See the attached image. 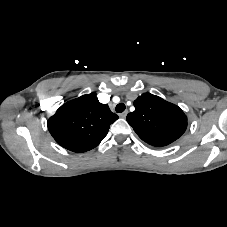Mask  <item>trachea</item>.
<instances>
[{
    "label": "trachea",
    "mask_w": 227,
    "mask_h": 227,
    "mask_svg": "<svg viewBox=\"0 0 227 227\" xmlns=\"http://www.w3.org/2000/svg\"><path fill=\"white\" fill-rule=\"evenodd\" d=\"M125 110V104L124 103H119L116 106V112L117 113H122Z\"/></svg>",
    "instance_id": "trachea-1"
}]
</instances>
